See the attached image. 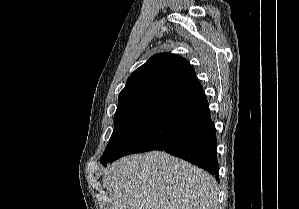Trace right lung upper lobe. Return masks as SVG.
Listing matches in <instances>:
<instances>
[{
    "mask_svg": "<svg viewBox=\"0 0 299 209\" xmlns=\"http://www.w3.org/2000/svg\"><path fill=\"white\" fill-rule=\"evenodd\" d=\"M196 78L188 61L176 54L159 53L136 69L119 94L118 107L141 102L162 103Z\"/></svg>",
    "mask_w": 299,
    "mask_h": 209,
    "instance_id": "1",
    "label": "right lung upper lobe"
}]
</instances>
